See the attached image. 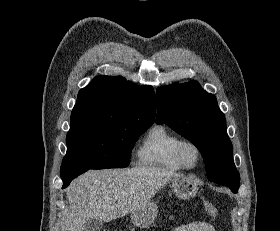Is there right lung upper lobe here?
I'll return each instance as SVG.
<instances>
[{
    "mask_svg": "<svg viewBox=\"0 0 280 231\" xmlns=\"http://www.w3.org/2000/svg\"><path fill=\"white\" fill-rule=\"evenodd\" d=\"M153 96L150 86H136L121 76H97L79 91L71 119L112 118L153 124Z\"/></svg>",
    "mask_w": 280,
    "mask_h": 231,
    "instance_id": "right-lung-upper-lobe-1",
    "label": "right lung upper lobe"
}]
</instances>
